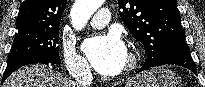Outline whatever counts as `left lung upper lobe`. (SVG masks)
<instances>
[{
  "instance_id": "5c2ea615",
  "label": "left lung upper lobe",
  "mask_w": 205,
  "mask_h": 87,
  "mask_svg": "<svg viewBox=\"0 0 205 87\" xmlns=\"http://www.w3.org/2000/svg\"><path fill=\"white\" fill-rule=\"evenodd\" d=\"M118 3L122 21L145 46L144 64L156 65L171 48L185 43L175 0H118Z\"/></svg>"
}]
</instances>
